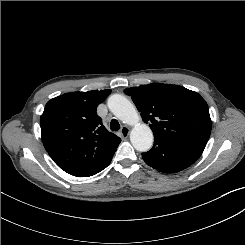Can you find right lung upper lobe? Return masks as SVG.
Returning <instances> with one entry per match:
<instances>
[{"mask_svg":"<svg viewBox=\"0 0 245 245\" xmlns=\"http://www.w3.org/2000/svg\"><path fill=\"white\" fill-rule=\"evenodd\" d=\"M111 90L66 93L51 99L40 118L43 145L65 172L89 177L106 168L121 139L96 114Z\"/></svg>","mask_w":245,"mask_h":245,"instance_id":"obj_1","label":"right lung upper lobe"}]
</instances>
